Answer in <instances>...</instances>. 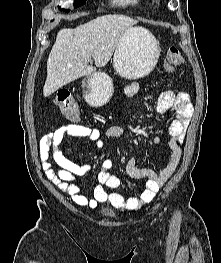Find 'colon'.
I'll return each mask as SVG.
<instances>
[{"instance_id": "5ec220e1", "label": "colon", "mask_w": 221, "mask_h": 263, "mask_svg": "<svg viewBox=\"0 0 221 263\" xmlns=\"http://www.w3.org/2000/svg\"><path fill=\"white\" fill-rule=\"evenodd\" d=\"M183 61V56L178 48H169L165 57V67L169 72L182 65ZM55 102L67 119L71 121H77L79 119V107L69 94H57Z\"/></svg>"}]
</instances>
